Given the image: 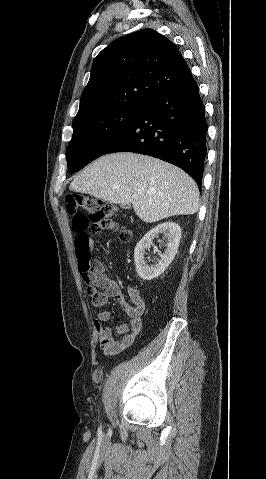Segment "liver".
<instances>
[{"mask_svg": "<svg viewBox=\"0 0 266 479\" xmlns=\"http://www.w3.org/2000/svg\"><path fill=\"white\" fill-rule=\"evenodd\" d=\"M69 189L114 204L132 203L146 223L192 215L199 209L198 188L187 173L159 159L129 152L98 158L74 178Z\"/></svg>", "mask_w": 266, "mask_h": 479, "instance_id": "6515ba94", "label": "liver"}]
</instances>
